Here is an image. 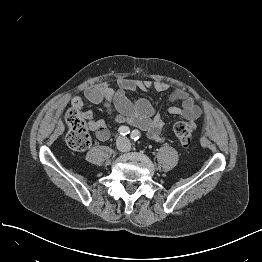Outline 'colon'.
Returning a JSON list of instances; mask_svg holds the SVG:
<instances>
[{
	"instance_id": "1",
	"label": "colon",
	"mask_w": 262,
	"mask_h": 262,
	"mask_svg": "<svg viewBox=\"0 0 262 262\" xmlns=\"http://www.w3.org/2000/svg\"><path fill=\"white\" fill-rule=\"evenodd\" d=\"M65 122L68 127L66 134L68 145L77 151L87 149L91 144V136L86 127V121L80 115L77 108L71 107L67 111ZM195 127V123L189 121H179L175 124V134L184 147H189L191 145Z\"/></svg>"
}]
</instances>
